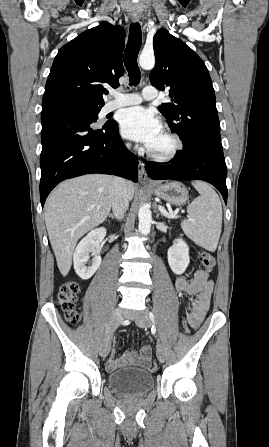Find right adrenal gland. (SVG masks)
<instances>
[{
    "instance_id": "2a0ac1e0",
    "label": "right adrenal gland",
    "mask_w": 269,
    "mask_h": 447,
    "mask_svg": "<svg viewBox=\"0 0 269 447\" xmlns=\"http://www.w3.org/2000/svg\"><path fill=\"white\" fill-rule=\"evenodd\" d=\"M108 218H111V220H114L115 216H113V214H108Z\"/></svg>"
}]
</instances>
